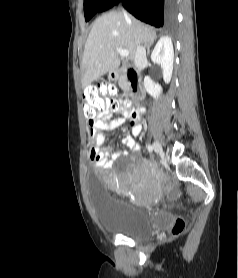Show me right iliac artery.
Returning a JSON list of instances; mask_svg holds the SVG:
<instances>
[{
    "instance_id": "right-iliac-artery-1",
    "label": "right iliac artery",
    "mask_w": 238,
    "mask_h": 278,
    "mask_svg": "<svg viewBox=\"0 0 238 278\" xmlns=\"http://www.w3.org/2000/svg\"><path fill=\"white\" fill-rule=\"evenodd\" d=\"M147 149H148L149 152H152V151H153L152 145L149 144V145L147 146Z\"/></svg>"
}]
</instances>
